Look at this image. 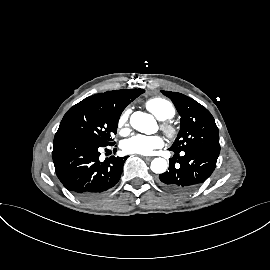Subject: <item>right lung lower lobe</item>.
Here are the masks:
<instances>
[{"instance_id":"1","label":"right lung lower lobe","mask_w":270,"mask_h":270,"mask_svg":"<svg viewBox=\"0 0 270 270\" xmlns=\"http://www.w3.org/2000/svg\"><path fill=\"white\" fill-rule=\"evenodd\" d=\"M101 147L105 146L79 137L54 138L52 155L57 177L78 197L91 199L99 196L121 177L128 156H112L100 162Z\"/></svg>"}]
</instances>
